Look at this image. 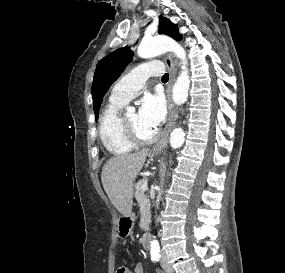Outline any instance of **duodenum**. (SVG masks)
Returning <instances> with one entry per match:
<instances>
[{
	"label": "duodenum",
	"mask_w": 285,
	"mask_h": 273,
	"mask_svg": "<svg viewBox=\"0 0 285 273\" xmlns=\"http://www.w3.org/2000/svg\"><path fill=\"white\" fill-rule=\"evenodd\" d=\"M149 241H150V235L149 233H144L143 237H142V244H143V248L145 250L149 249Z\"/></svg>",
	"instance_id": "obj_1"
}]
</instances>
